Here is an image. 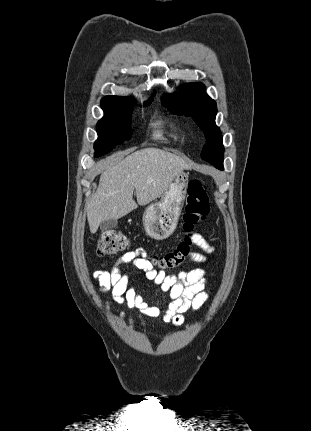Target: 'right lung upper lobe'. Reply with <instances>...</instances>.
I'll use <instances>...</instances> for the list:
<instances>
[{"label":"right lung upper lobe","mask_w":311,"mask_h":431,"mask_svg":"<svg viewBox=\"0 0 311 431\" xmlns=\"http://www.w3.org/2000/svg\"><path fill=\"white\" fill-rule=\"evenodd\" d=\"M105 98H112V99H131L130 97H119V96H107Z\"/></svg>","instance_id":"obj_1"}]
</instances>
